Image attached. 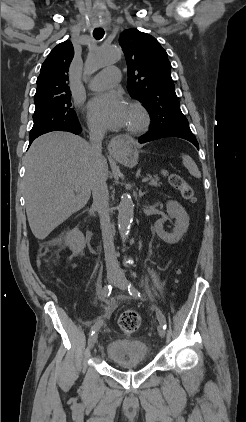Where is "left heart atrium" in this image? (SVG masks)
I'll return each instance as SVG.
<instances>
[{
  "label": "left heart atrium",
  "instance_id": "obj_1",
  "mask_svg": "<svg viewBox=\"0 0 246 422\" xmlns=\"http://www.w3.org/2000/svg\"><path fill=\"white\" fill-rule=\"evenodd\" d=\"M129 107L117 92H108L94 97L88 104L90 119L109 129H117L127 124Z\"/></svg>",
  "mask_w": 246,
  "mask_h": 422
}]
</instances>
